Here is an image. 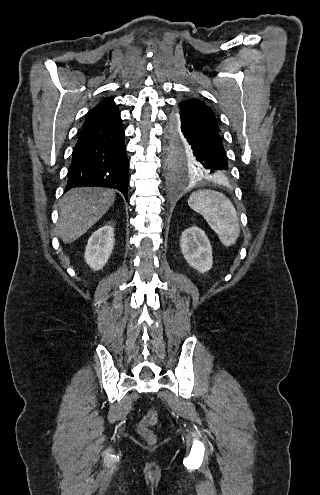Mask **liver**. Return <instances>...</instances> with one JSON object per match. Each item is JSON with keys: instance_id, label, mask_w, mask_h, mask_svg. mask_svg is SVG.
<instances>
[{"instance_id": "liver-1", "label": "liver", "mask_w": 320, "mask_h": 495, "mask_svg": "<svg viewBox=\"0 0 320 495\" xmlns=\"http://www.w3.org/2000/svg\"><path fill=\"white\" fill-rule=\"evenodd\" d=\"M115 192L97 187H78L68 191L62 200L57 233L64 243L85 234L111 207Z\"/></svg>"}]
</instances>
